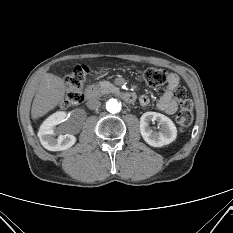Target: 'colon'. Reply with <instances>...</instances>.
<instances>
[{
    "label": "colon",
    "instance_id": "5ec220e1",
    "mask_svg": "<svg viewBox=\"0 0 233 233\" xmlns=\"http://www.w3.org/2000/svg\"><path fill=\"white\" fill-rule=\"evenodd\" d=\"M88 75V69L84 65L76 66L66 77V94L62 102L63 108L77 105L83 101V87ZM145 83L150 87H158L168 83L166 70L157 67H149L143 71ZM174 99L180 106L177 122L180 130L185 131L193 119L192 101L187 89L183 85H177L172 90Z\"/></svg>",
    "mask_w": 233,
    "mask_h": 233
}]
</instances>
